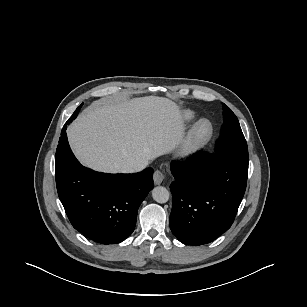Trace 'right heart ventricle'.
<instances>
[{
    "label": "right heart ventricle",
    "mask_w": 307,
    "mask_h": 307,
    "mask_svg": "<svg viewBox=\"0 0 307 307\" xmlns=\"http://www.w3.org/2000/svg\"><path fill=\"white\" fill-rule=\"evenodd\" d=\"M183 118L186 122H191L194 120L195 118V115L193 112L191 111H185L184 114H183Z\"/></svg>",
    "instance_id": "obj_1"
}]
</instances>
